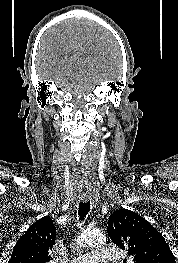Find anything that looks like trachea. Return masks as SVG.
<instances>
[{
  "instance_id": "1",
  "label": "trachea",
  "mask_w": 178,
  "mask_h": 263,
  "mask_svg": "<svg viewBox=\"0 0 178 263\" xmlns=\"http://www.w3.org/2000/svg\"><path fill=\"white\" fill-rule=\"evenodd\" d=\"M89 211H90V201L79 203L78 215L81 221L84 220V218L89 213Z\"/></svg>"
}]
</instances>
